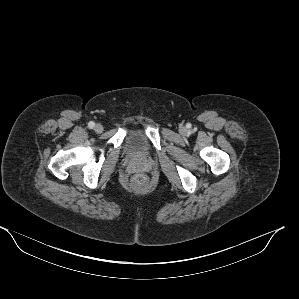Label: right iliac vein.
Instances as JSON below:
<instances>
[{
	"label": "right iliac vein",
	"instance_id": "obj_1",
	"mask_svg": "<svg viewBox=\"0 0 299 299\" xmlns=\"http://www.w3.org/2000/svg\"><path fill=\"white\" fill-rule=\"evenodd\" d=\"M94 130L97 133H101L103 131V126L101 124H96Z\"/></svg>",
	"mask_w": 299,
	"mask_h": 299
}]
</instances>
